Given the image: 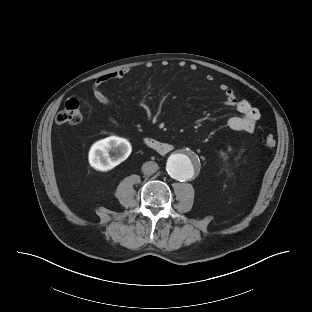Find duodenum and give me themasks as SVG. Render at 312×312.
Masks as SVG:
<instances>
[{
	"instance_id": "duodenum-1",
	"label": "duodenum",
	"mask_w": 312,
	"mask_h": 312,
	"mask_svg": "<svg viewBox=\"0 0 312 312\" xmlns=\"http://www.w3.org/2000/svg\"><path fill=\"white\" fill-rule=\"evenodd\" d=\"M144 144L151 150L160 154H167L173 149V146L171 144L161 142L159 140L150 137L144 139Z\"/></svg>"
}]
</instances>
